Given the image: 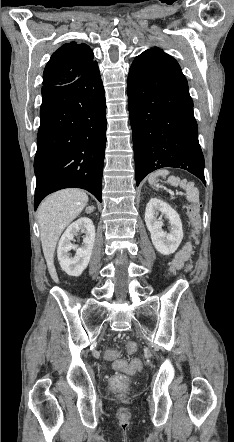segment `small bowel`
Segmentation results:
<instances>
[{"label": "small bowel", "mask_w": 234, "mask_h": 442, "mask_svg": "<svg viewBox=\"0 0 234 442\" xmlns=\"http://www.w3.org/2000/svg\"><path fill=\"white\" fill-rule=\"evenodd\" d=\"M189 255V249L188 247H185L183 250H181L173 260L171 264V272H175L176 270L180 269L183 266L184 261L187 260Z\"/></svg>", "instance_id": "1"}]
</instances>
